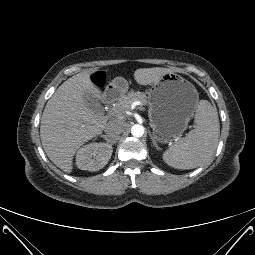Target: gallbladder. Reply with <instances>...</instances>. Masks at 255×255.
Here are the masks:
<instances>
[{"label":"gallbladder","mask_w":255,"mask_h":255,"mask_svg":"<svg viewBox=\"0 0 255 255\" xmlns=\"http://www.w3.org/2000/svg\"><path fill=\"white\" fill-rule=\"evenodd\" d=\"M83 101H84V104L91 109H95L98 104V100L94 97V95L90 93L84 94Z\"/></svg>","instance_id":"gallbladder-1"}]
</instances>
